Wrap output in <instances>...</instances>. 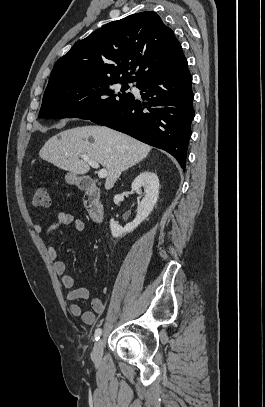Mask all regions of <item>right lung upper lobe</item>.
I'll return each mask as SVG.
<instances>
[{
  "label": "right lung upper lobe",
  "instance_id": "1",
  "mask_svg": "<svg viewBox=\"0 0 265 407\" xmlns=\"http://www.w3.org/2000/svg\"><path fill=\"white\" fill-rule=\"evenodd\" d=\"M182 47L172 29L147 11L110 22L76 42L55 63L49 83L83 80H142L168 68ZM135 76L129 77L135 72Z\"/></svg>",
  "mask_w": 265,
  "mask_h": 407
}]
</instances>
